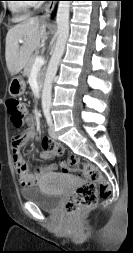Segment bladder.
<instances>
[{
    "label": "bladder",
    "instance_id": "1",
    "mask_svg": "<svg viewBox=\"0 0 133 253\" xmlns=\"http://www.w3.org/2000/svg\"><path fill=\"white\" fill-rule=\"evenodd\" d=\"M21 197L37 205L41 210L52 212L59 206L62 194L49 191L42 186H29L21 190Z\"/></svg>",
    "mask_w": 133,
    "mask_h": 253
}]
</instances>
